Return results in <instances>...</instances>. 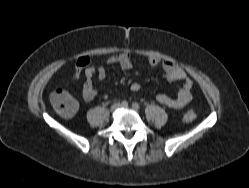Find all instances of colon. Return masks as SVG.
<instances>
[{"label": "colon", "instance_id": "colon-1", "mask_svg": "<svg viewBox=\"0 0 249 188\" xmlns=\"http://www.w3.org/2000/svg\"><path fill=\"white\" fill-rule=\"evenodd\" d=\"M50 103L54 110L62 117L70 118L74 116L78 109L77 101L62 88L56 89L50 95ZM197 118V113L193 109L187 110L182 117L184 123H191Z\"/></svg>", "mask_w": 249, "mask_h": 188}]
</instances>
